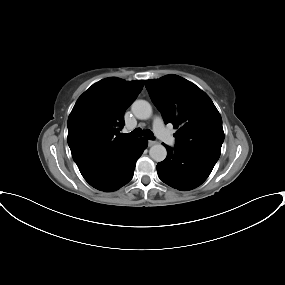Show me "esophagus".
Wrapping results in <instances>:
<instances>
[{
  "instance_id": "esophagus-1",
  "label": "esophagus",
  "mask_w": 285,
  "mask_h": 285,
  "mask_svg": "<svg viewBox=\"0 0 285 285\" xmlns=\"http://www.w3.org/2000/svg\"><path fill=\"white\" fill-rule=\"evenodd\" d=\"M155 144H157V141H155V140H149L148 141V146H153Z\"/></svg>"
}]
</instances>
